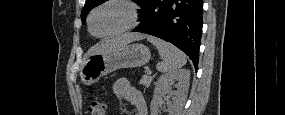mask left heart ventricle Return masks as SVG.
I'll return each mask as SVG.
<instances>
[{
  "mask_svg": "<svg viewBox=\"0 0 285 115\" xmlns=\"http://www.w3.org/2000/svg\"><path fill=\"white\" fill-rule=\"evenodd\" d=\"M126 10L118 5H105L92 18V30L96 34L113 32L127 23Z\"/></svg>",
  "mask_w": 285,
  "mask_h": 115,
  "instance_id": "1",
  "label": "left heart ventricle"
}]
</instances>
